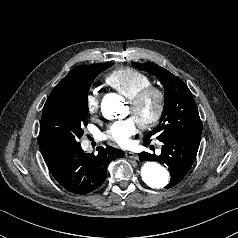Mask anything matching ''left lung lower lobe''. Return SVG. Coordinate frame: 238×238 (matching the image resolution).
<instances>
[{"label":"left lung lower lobe","instance_id":"left-lung-lower-lobe-1","mask_svg":"<svg viewBox=\"0 0 238 238\" xmlns=\"http://www.w3.org/2000/svg\"><path fill=\"white\" fill-rule=\"evenodd\" d=\"M163 143L161 155L157 156L143 152L139 155L141 161H157L168 167L171 175L166 188L178 184L190 170L199 148L200 138L191 136H176L161 140ZM145 144L150 142L145 141Z\"/></svg>","mask_w":238,"mask_h":238}]
</instances>
